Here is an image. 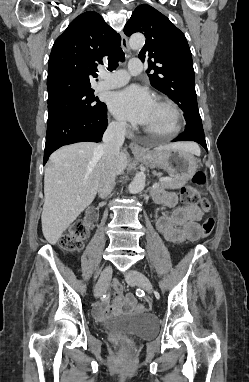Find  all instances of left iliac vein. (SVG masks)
Returning <instances> with one entry per match:
<instances>
[{"instance_id":"4c4485c4","label":"left iliac vein","mask_w":249,"mask_h":382,"mask_svg":"<svg viewBox=\"0 0 249 382\" xmlns=\"http://www.w3.org/2000/svg\"><path fill=\"white\" fill-rule=\"evenodd\" d=\"M125 279L128 284H136L148 293H151L153 291L152 283L150 282L149 278L146 277L144 274L140 273L136 277L127 275Z\"/></svg>"}]
</instances>
